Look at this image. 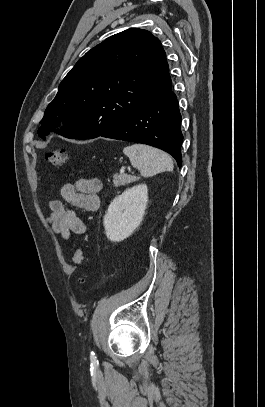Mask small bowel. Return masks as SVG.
Wrapping results in <instances>:
<instances>
[{
	"instance_id": "small-bowel-1",
	"label": "small bowel",
	"mask_w": 265,
	"mask_h": 407,
	"mask_svg": "<svg viewBox=\"0 0 265 407\" xmlns=\"http://www.w3.org/2000/svg\"><path fill=\"white\" fill-rule=\"evenodd\" d=\"M102 189L100 179L80 178L75 182L65 183L60 190V199L50 202L51 213L47 218L50 230L69 240L73 234L83 235L87 224L78 216L75 208L94 212L99 208V192Z\"/></svg>"
}]
</instances>
